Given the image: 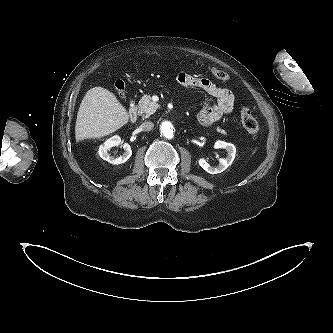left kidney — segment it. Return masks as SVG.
I'll list each match as a JSON object with an SVG mask.
<instances>
[{"label":"left kidney","instance_id":"5707ae66","mask_svg":"<svg viewBox=\"0 0 333 333\" xmlns=\"http://www.w3.org/2000/svg\"><path fill=\"white\" fill-rule=\"evenodd\" d=\"M215 149H225L227 152L226 158H220L219 159V166L213 167L211 166L204 158H200L198 163L199 165L208 173L210 174H218L226 170L228 166H230L235 159L236 154V147L231 144L224 141H216L214 144Z\"/></svg>","mask_w":333,"mask_h":333}]
</instances>
